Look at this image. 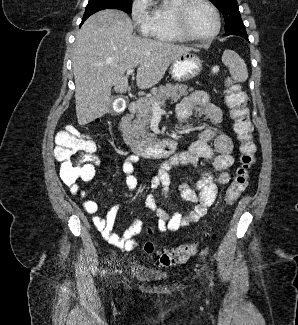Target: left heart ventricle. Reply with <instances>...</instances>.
Listing matches in <instances>:
<instances>
[{
  "instance_id": "left-heart-ventricle-1",
  "label": "left heart ventricle",
  "mask_w": 298,
  "mask_h": 325,
  "mask_svg": "<svg viewBox=\"0 0 298 325\" xmlns=\"http://www.w3.org/2000/svg\"><path fill=\"white\" fill-rule=\"evenodd\" d=\"M184 25L192 35L201 39L209 37L215 29L213 16L200 4H194L187 10Z\"/></svg>"
}]
</instances>
